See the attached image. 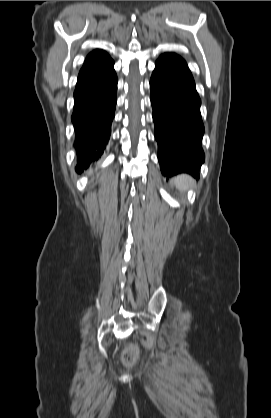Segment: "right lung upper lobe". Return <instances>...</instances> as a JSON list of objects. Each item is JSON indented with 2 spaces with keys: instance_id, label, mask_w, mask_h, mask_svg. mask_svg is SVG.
<instances>
[{
  "instance_id": "right-lung-upper-lobe-1",
  "label": "right lung upper lobe",
  "mask_w": 271,
  "mask_h": 418,
  "mask_svg": "<svg viewBox=\"0 0 271 418\" xmlns=\"http://www.w3.org/2000/svg\"><path fill=\"white\" fill-rule=\"evenodd\" d=\"M111 60L110 56L103 50L95 49L86 57L85 63L80 70L78 78L87 74L94 68L102 65L103 63Z\"/></svg>"
}]
</instances>
